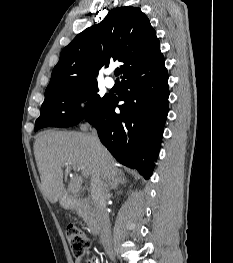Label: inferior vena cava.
<instances>
[{
    "label": "inferior vena cava",
    "mask_w": 233,
    "mask_h": 263,
    "mask_svg": "<svg viewBox=\"0 0 233 263\" xmlns=\"http://www.w3.org/2000/svg\"><path fill=\"white\" fill-rule=\"evenodd\" d=\"M91 137L96 150H100L101 143L99 141L97 132L95 129L91 132ZM91 195L96 210L98 222L100 225V238L106 253L110 259L114 261V254L112 250L111 240V224L106 205V194L104 188L101 185V181L92 182Z\"/></svg>",
    "instance_id": "inferior-vena-cava-1"
}]
</instances>
